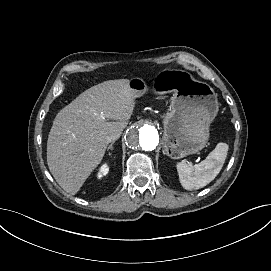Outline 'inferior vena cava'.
<instances>
[{"instance_id":"inferior-vena-cava-1","label":"inferior vena cava","mask_w":271,"mask_h":271,"mask_svg":"<svg viewBox=\"0 0 271 271\" xmlns=\"http://www.w3.org/2000/svg\"><path fill=\"white\" fill-rule=\"evenodd\" d=\"M120 134L121 133H119V132L111 134L108 138V142L115 141L116 139H118L120 137Z\"/></svg>"}]
</instances>
